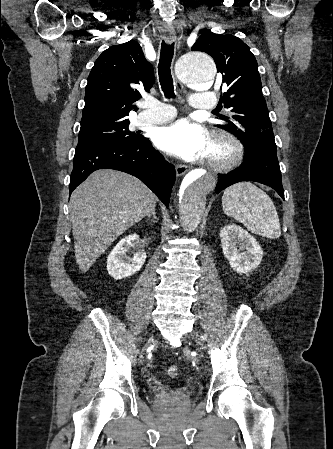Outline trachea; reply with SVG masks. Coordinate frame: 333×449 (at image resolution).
<instances>
[{
	"label": "trachea",
	"mask_w": 333,
	"mask_h": 449,
	"mask_svg": "<svg viewBox=\"0 0 333 449\" xmlns=\"http://www.w3.org/2000/svg\"><path fill=\"white\" fill-rule=\"evenodd\" d=\"M174 55V43L167 44L162 41L160 59L158 64L159 81L166 98H174V84L171 75V62Z\"/></svg>",
	"instance_id": "obj_1"
}]
</instances>
